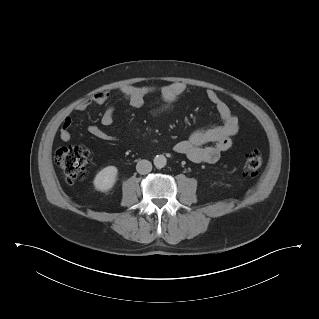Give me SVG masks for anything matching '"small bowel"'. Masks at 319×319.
Returning a JSON list of instances; mask_svg holds the SVG:
<instances>
[{"label":"small bowel","instance_id":"small-bowel-1","mask_svg":"<svg viewBox=\"0 0 319 319\" xmlns=\"http://www.w3.org/2000/svg\"><path fill=\"white\" fill-rule=\"evenodd\" d=\"M187 87L183 82H172L166 85H125L118 89V92L125 98L132 107H141L145 103L147 96L159 94L161 105L157 109L158 113L169 111L177 99L185 93ZM206 96L221 118V124L201 127L194 130L187 139L181 140L174 145V151L185 156L193 162L213 163L216 162L223 153L232 146V139L239 129L238 118L232 113L229 106L214 91L207 90ZM111 97L109 91H100L88 99L79 102L75 110L85 111L90 105H104ZM115 108L108 106L100 117L102 126H111L114 122ZM72 119L65 117L62 121L59 137L63 142L71 140L70 128ZM88 132L101 140L113 142L116 137L107 133L99 125H91ZM212 143V145H208Z\"/></svg>","mask_w":319,"mask_h":319}]
</instances>
